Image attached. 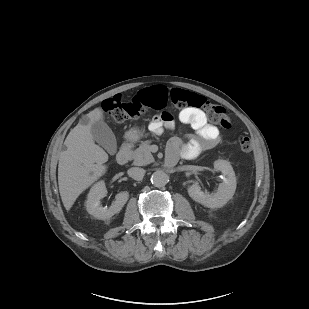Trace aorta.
I'll use <instances>...</instances> for the list:
<instances>
[{
    "mask_svg": "<svg viewBox=\"0 0 309 309\" xmlns=\"http://www.w3.org/2000/svg\"><path fill=\"white\" fill-rule=\"evenodd\" d=\"M168 181V176L163 171H156L151 176V183L155 187H163Z\"/></svg>",
    "mask_w": 309,
    "mask_h": 309,
    "instance_id": "aorta-1",
    "label": "aorta"
}]
</instances>
